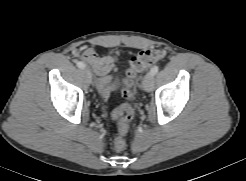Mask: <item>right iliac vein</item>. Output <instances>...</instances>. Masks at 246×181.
Wrapping results in <instances>:
<instances>
[{"label": "right iliac vein", "instance_id": "63e3f726", "mask_svg": "<svg viewBox=\"0 0 246 181\" xmlns=\"http://www.w3.org/2000/svg\"><path fill=\"white\" fill-rule=\"evenodd\" d=\"M83 73L86 75V77L88 78L89 81L92 80V74H91L89 69H86V68L83 69Z\"/></svg>", "mask_w": 246, "mask_h": 181}]
</instances>
